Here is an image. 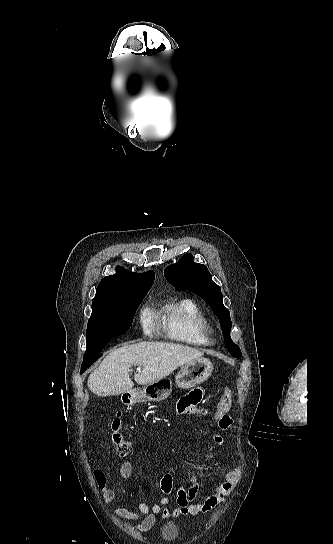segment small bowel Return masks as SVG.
Instances as JSON below:
<instances>
[{
	"label": "small bowel",
	"mask_w": 333,
	"mask_h": 544,
	"mask_svg": "<svg viewBox=\"0 0 333 544\" xmlns=\"http://www.w3.org/2000/svg\"><path fill=\"white\" fill-rule=\"evenodd\" d=\"M204 389L196 388L192 392L181 397L177 403V412L181 416L201 417L207 414L208 409L203 404ZM231 419L225 415L218 420V426L225 431L231 426ZM214 442L218 445L224 444V438L220 433H214L212 436ZM133 470L130 461H124L119 469L120 479L128 478ZM240 476V469L236 468L226 472L216 483L213 490L202 498H198L199 487L195 478H192L191 486H179L176 490V506L171 507L169 494L173 491V479L170 474H165L160 482L161 490L165 494L159 504L152 506L146 503L138 504V511H132L124 507H115L112 505L116 497V490L110 486L102 487V495L105 504L112 514L126 520L139 521L136 528L139 531L150 530L156 521V515L162 514L165 518L177 517L180 515L198 516L206 514L221 503L226 495L230 493Z\"/></svg>",
	"instance_id": "c3829d8e"
}]
</instances>
